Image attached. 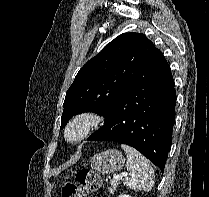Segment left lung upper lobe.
<instances>
[{"mask_svg":"<svg viewBox=\"0 0 209 197\" xmlns=\"http://www.w3.org/2000/svg\"><path fill=\"white\" fill-rule=\"evenodd\" d=\"M161 51L139 33H123L77 73L66 92L61 128L81 112L107 116L117 100L138 83Z\"/></svg>","mask_w":209,"mask_h":197,"instance_id":"obj_1","label":"left lung upper lobe"}]
</instances>
